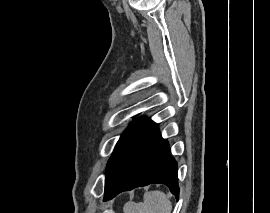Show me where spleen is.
<instances>
[{
  "label": "spleen",
  "mask_w": 270,
  "mask_h": 213,
  "mask_svg": "<svg viewBox=\"0 0 270 213\" xmlns=\"http://www.w3.org/2000/svg\"><path fill=\"white\" fill-rule=\"evenodd\" d=\"M172 203L169 197L159 190L146 192L143 203L129 202L124 213H171Z\"/></svg>",
  "instance_id": "1"
}]
</instances>
